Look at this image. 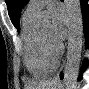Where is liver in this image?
<instances>
[{"label":"liver","instance_id":"liver-1","mask_svg":"<svg viewBox=\"0 0 89 89\" xmlns=\"http://www.w3.org/2000/svg\"><path fill=\"white\" fill-rule=\"evenodd\" d=\"M57 85L54 79H33L26 83L24 89H52Z\"/></svg>","mask_w":89,"mask_h":89}]
</instances>
